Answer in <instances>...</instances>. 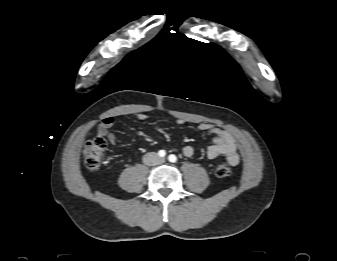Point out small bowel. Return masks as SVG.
<instances>
[{
    "mask_svg": "<svg viewBox=\"0 0 337 261\" xmlns=\"http://www.w3.org/2000/svg\"><path fill=\"white\" fill-rule=\"evenodd\" d=\"M138 120L144 121L148 118L145 113L136 114ZM178 124L184 121L179 119ZM115 120L113 117L104 118L98 125L97 134L108 139L110 143H116V135L110 129L113 127ZM198 129L211 135V144L207 148V156L209 159H215L219 156H225L228 163L235 166L239 163L240 157L237 152V143L234 137L225 129L218 128L210 123H200ZM186 157L194 155V148L191 145H185L182 149Z\"/></svg>",
    "mask_w": 337,
    "mask_h": 261,
    "instance_id": "1",
    "label": "small bowel"
}]
</instances>
